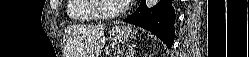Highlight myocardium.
Returning <instances> with one entry per match:
<instances>
[{
    "mask_svg": "<svg viewBox=\"0 0 249 57\" xmlns=\"http://www.w3.org/2000/svg\"><path fill=\"white\" fill-rule=\"evenodd\" d=\"M103 1L104 0H93L92 1V5H93L95 11L98 13L100 18H102V19L117 18V17L121 16L122 14H124L125 11L127 10V3H122L120 5L119 9L116 10L115 12H106L103 8Z\"/></svg>",
    "mask_w": 249,
    "mask_h": 57,
    "instance_id": "1",
    "label": "myocardium"
}]
</instances>
